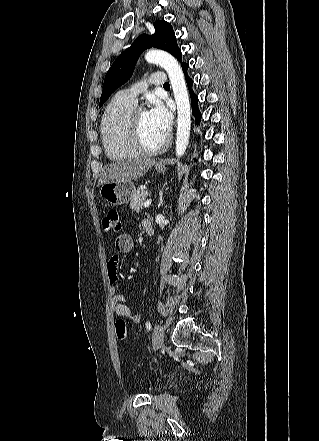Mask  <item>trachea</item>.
<instances>
[{
  "label": "trachea",
  "instance_id": "obj_1",
  "mask_svg": "<svg viewBox=\"0 0 319 441\" xmlns=\"http://www.w3.org/2000/svg\"><path fill=\"white\" fill-rule=\"evenodd\" d=\"M163 87H164V88H168V87H170V85H169V83L167 82V83L164 84Z\"/></svg>",
  "mask_w": 319,
  "mask_h": 441
}]
</instances>
